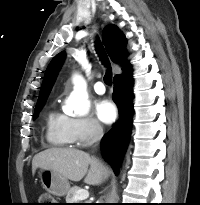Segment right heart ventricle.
<instances>
[{"instance_id":"1","label":"right heart ventricle","mask_w":200,"mask_h":205,"mask_svg":"<svg viewBox=\"0 0 200 205\" xmlns=\"http://www.w3.org/2000/svg\"><path fill=\"white\" fill-rule=\"evenodd\" d=\"M46 139L55 146H69L73 143L69 127L68 117L55 111L49 112L46 119Z\"/></svg>"}]
</instances>
